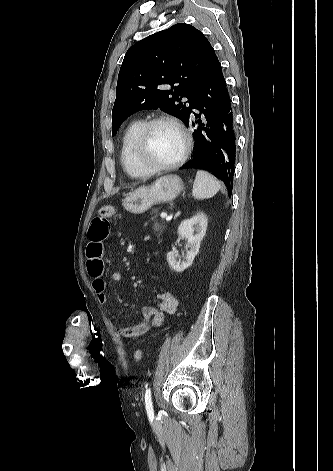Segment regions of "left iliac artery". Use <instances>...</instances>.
I'll return each instance as SVG.
<instances>
[{
    "instance_id": "1",
    "label": "left iliac artery",
    "mask_w": 333,
    "mask_h": 471,
    "mask_svg": "<svg viewBox=\"0 0 333 471\" xmlns=\"http://www.w3.org/2000/svg\"><path fill=\"white\" fill-rule=\"evenodd\" d=\"M145 407H146V411H147L148 416H153L154 411H153L150 387L147 388L146 392H145Z\"/></svg>"
}]
</instances>
